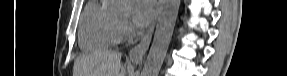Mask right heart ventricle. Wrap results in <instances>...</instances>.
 Segmentation results:
<instances>
[{
  "label": "right heart ventricle",
  "instance_id": "right-heart-ventricle-1",
  "mask_svg": "<svg viewBox=\"0 0 287 76\" xmlns=\"http://www.w3.org/2000/svg\"><path fill=\"white\" fill-rule=\"evenodd\" d=\"M119 19L103 4L89 2L83 12L79 43L84 50H104L120 41L118 34Z\"/></svg>",
  "mask_w": 287,
  "mask_h": 76
}]
</instances>
